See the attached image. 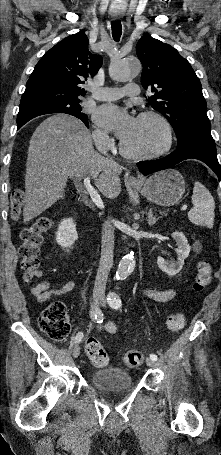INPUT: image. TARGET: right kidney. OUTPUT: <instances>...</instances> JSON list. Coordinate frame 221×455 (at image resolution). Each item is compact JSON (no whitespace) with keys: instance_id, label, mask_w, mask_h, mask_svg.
I'll return each mask as SVG.
<instances>
[{"instance_id":"right-kidney-1","label":"right kidney","mask_w":221,"mask_h":455,"mask_svg":"<svg viewBox=\"0 0 221 455\" xmlns=\"http://www.w3.org/2000/svg\"><path fill=\"white\" fill-rule=\"evenodd\" d=\"M78 239L76 224L72 218L61 221L58 231L56 232V242L67 251Z\"/></svg>"}]
</instances>
